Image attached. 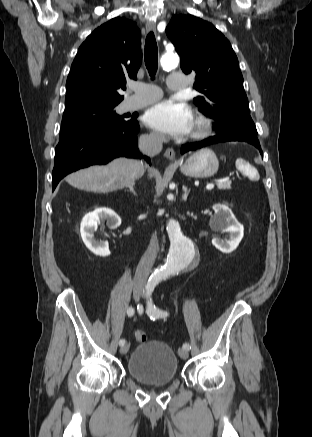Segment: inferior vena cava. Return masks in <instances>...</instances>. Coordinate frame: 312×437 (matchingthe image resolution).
<instances>
[{
	"mask_svg": "<svg viewBox=\"0 0 312 437\" xmlns=\"http://www.w3.org/2000/svg\"><path fill=\"white\" fill-rule=\"evenodd\" d=\"M164 141L165 135L159 132H152L150 134L140 136L138 147L143 154L153 157L162 150V143ZM158 251L159 244L157 236L156 234H153L150 240V244L137 266V274L150 273L157 257Z\"/></svg>",
	"mask_w": 312,
	"mask_h": 437,
	"instance_id": "inferior-vena-cava-1",
	"label": "inferior vena cava"
}]
</instances>
